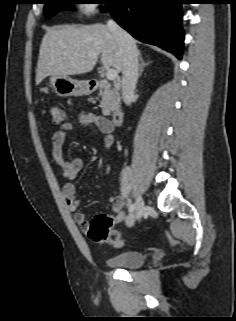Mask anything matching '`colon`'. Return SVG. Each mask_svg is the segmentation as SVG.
Masks as SVG:
<instances>
[{"label":"colon","mask_w":236,"mask_h":321,"mask_svg":"<svg viewBox=\"0 0 236 321\" xmlns=\"http://www.w3.org/2000/svg\"><path fill=\"white\" fill-rule=\"evenodd\" d=\"M51 116L54 125H61L66 119L65 111L59 106L51 108ZM116 222H118L117 216L99 214L88 223L87 235L97 243H107L114 247H121L123 245L121 235L118 230L113 228Z\"/></svg>","instance_id":"1"}]
</instances>
